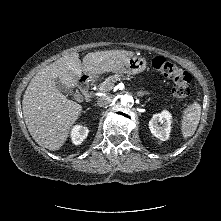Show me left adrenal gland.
<instances>
[{
	"label": "left adrenal gland",
	"mask_w": 221,
	"mask_h": 221,
	"mask_svg": "<svg viewBox=\"0 0 221 221\" xmlns=\"http://www.w3.org/2000/svg\"><path fill=\"white\" fill-rule=\"evenodd\" d=\"M146 94H149L148 92H138V96H144Z\"/></svg>",
	"instance_id": "obj_1"
}]
</instances>
